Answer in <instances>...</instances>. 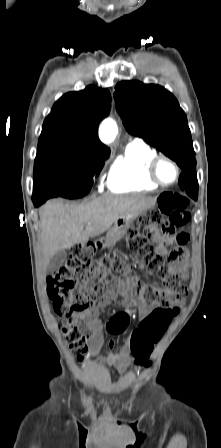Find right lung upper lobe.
Here are the masks:
<instances>
[{
  "mask_svg": "<svg viewBox=\"0 0 221 448\" xmlns=\"http://www.w3.org/2000/svg\"><path fill=\"white\" fill-rule=\"evenodd\" d=\"M110 107L109 91L96 86L64 94L43 123L38 149L69 146L89 153H110L98 138L99 122Z\"/></svg>",
  "mask_w": 221,
  "mask_h": 448,
  "instance_id": "right-lung-upper-lobe-1",
  "label": "right lung upper lobe"
}]
</instances>
